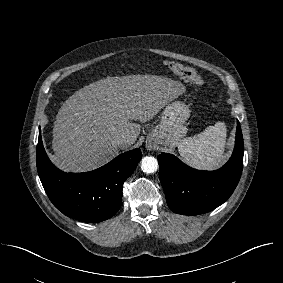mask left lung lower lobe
<instances>
[{
	"mask_svg": "<svg viewBox=\"0 0 283 283\" xmlns=\"http://www.w3.org/2000/svg\"><path fill=\"white\" fill-rule=\"evenodd\" d=\"M243 152L242 131L237 122L233 154L218 170H196L167 153L157 156L160 182L172 211L182 215H199L223 204L239 182L243 169Z\"/></svg>",
	"mask_w": 283,
	"mask_h": 283,
	"instance_id": "0a47b994",
	"label": "left lung lower lobe"
}]
</instances>
